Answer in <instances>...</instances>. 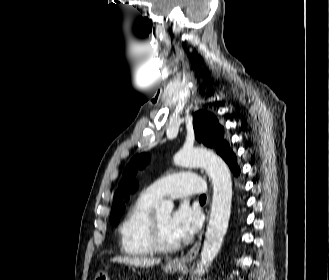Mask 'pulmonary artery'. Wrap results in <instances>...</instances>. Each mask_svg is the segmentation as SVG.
<instances>
[{"label":"pulmonary artery","instance_id":"obj_1","mask_svg":"<svg viewBox=\"0 0 329 280\" xmlns=\"http://www.w3.org/2000/svg\"><path fill=\"white\" fill-rule=\"evenodd\" d=\"M205 190L202 179L197 174L189 171L163 177L146 188V192L156 198H161L164 195L184 197L203 194Z\"/></svg>","mask_w":329,"mask_h":280}]
</instances>
